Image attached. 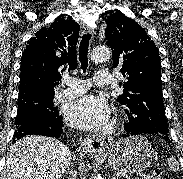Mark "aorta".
Returning <instances> with one entry per match:
<instances>
[{"mask_svg":"<svg viewBox=\"0 0 183 179\" xmlns=\"http://www.w3.org/2000/svg\"><path fill=\"white\" fill-rule=\"evenodd\" d=\"M111 58V50L106 46L96 47L91 53V60L95 63L105 62ZM92 179H103L100 174L95 175Z\"/></svg>","mask_w":183,"mask_h":179,"instance_id":"aorta-1","label":"aorta"}]
</instances>
